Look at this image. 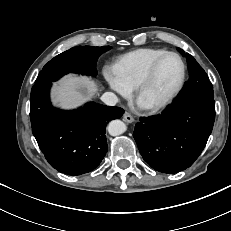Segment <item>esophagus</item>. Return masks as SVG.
I'll return each mask as SVG.
<instances>
[{
    "label": "esophagus",
    "mask_w": 231,
    "mask_h": 231,
    "mask_svg": "<svg viewBox=\"0 0 231 231\" xmlns=\"http://www.w3.org/2000/svg\"><path fill=\"white\" fill-rule=\"evenodd\" d=\"M123 120L127 123H132L134 121V118L130 113L125 112L123 115Z\"/></svg>",
    "instance_id": "34e87169"
}]
</instances>
